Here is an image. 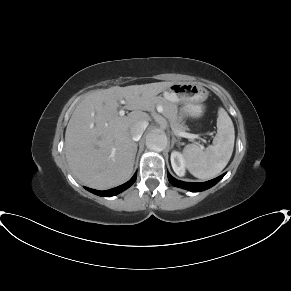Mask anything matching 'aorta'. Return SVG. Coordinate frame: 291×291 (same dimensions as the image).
Here are the masks:
<instances>
[{
    "mask_svg": "<svg viewBox=\"0 0 291 291\" xmlns=\"http://www.w3.org/2000/svg\"><path fill=\"white\" fill-rule=\"evenodd\" d=\"M167 136L160 131H152L146 136V145L155 151H162L167 147Z\"/></svg>",
    "mask_w": 291,
    "mask_h": 291,
    "instance_id": "obj_1",
    "label": "aorta"
}]
</instances>
